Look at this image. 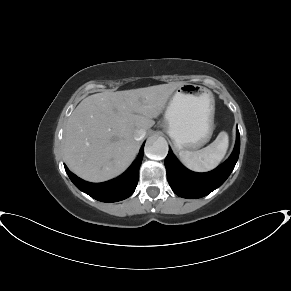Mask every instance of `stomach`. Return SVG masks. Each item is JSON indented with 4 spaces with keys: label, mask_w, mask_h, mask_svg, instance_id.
I'll return each instance as SVG.
<instances>
[{
    "label": "stomach",
    "mask_w": 291,
    "mask_h": 291,
    "mask_svg": "<svg viewBox=\"0 0 291 291\" xmlns=\"http://www.w3.org/2000/svg\"><path fill=\"white\" fill-rule=\"evenodd\" d=\"M214 114L215 100L209 89L182 83L170 98L163 127L177 150L194 151L210 140Z\"/></svg>",
    "instance_id": "obj_1"
}]
</instances>
